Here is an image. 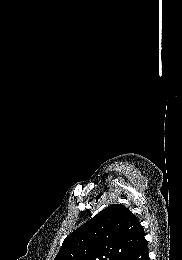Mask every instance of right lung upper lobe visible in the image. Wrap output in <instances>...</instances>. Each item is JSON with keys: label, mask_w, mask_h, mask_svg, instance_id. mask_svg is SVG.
Returning a JSON list of instances; mask_svg holds the SVG:
<instances>
[{"label": "right lung upper lobe", "mask_w": 182, "mask_h": 260, "mask_svg": "<svg viewBox=\"0 0 182 260\" xmlns=\"http://www.w3.org/2000/svg\"><path fill=\"white\" fill-rule=\"evenodd\" d=\"M146 242L136 216L113 204L67 236L54 260H126Z\"/></svg>", "instance_id": "obj_1"}]
</instances>
